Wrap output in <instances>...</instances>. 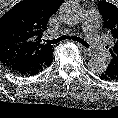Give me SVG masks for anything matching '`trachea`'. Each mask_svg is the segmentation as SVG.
<instances>
[{
    "mask_svg": "<svg viewBox=\"0 0 118 118\" xmlns=\"http://www.w3.org/2000/svg\"><path fill=\"white\" fill-rule=\"evenodd\" d=\"M70 39H72V40H74L76 42H79L80 44H82L83 46H85L87 48L90 47V45L86 41H84L82 38L77 37V36L63 35V36H61V37H59L57 39H54V40H47L46 42H47V44H59L61 41L70 40Z\"/></svg>",
    "mask_w": 118,
    "mask_h": 118,
    "instance_id": "3493384b",
    "label": "trachea"
}]
</instances>
